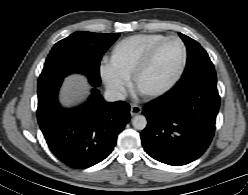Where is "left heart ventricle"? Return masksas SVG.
Wrapping results in <instances>:
<instances>
[{
	"mask_svg": "<svg viewBox=\"0 0 248 195\" xmlns=\"http://www.w3.org/2000/svg\"><path fill=\"white\" fill-rule=\"evenodd\" d=\"M183 57V48L178 40L166 42L157 53L150 69L140 80V89L156 90L169 83L176 75Z\"/></svg>",
	"mask_w": 248,
	"mask_h": 195,
	"instance_id": "b2bd125f",
	"label": "left heart ventricle"
}]
</instances>
